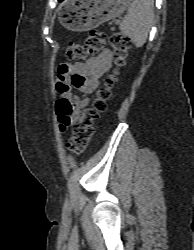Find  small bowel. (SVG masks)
Instances as JSON below:
<instances>
[{
    "instance_id": "c3829d8e",
    "label": "small bowel",
    "mask_w": 194,
    "mask_h": 250,
    "mask_svg": "<svg viewBox=\"0 0 194 250\" xmlns=\"http://www.w3.org/2000/svg\"><path fill=\"white\" fill-rule=\"evenodd\" d=\"M112 64L113 53L105 49L86 62L60 65L56 80L60 99L56 107L62 130H66L77 120L80 111L89 104L88 94L98 87L101 77L111 69ZM73 90H77L82 96L75 95Z\"/></svg>"
}]
</instances>
